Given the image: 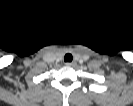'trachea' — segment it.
<instances>
[{
  "label": "trachea",
  "mask_w": 133,
  "mask_h": 106,
  "mask_svg": "<svg viewBox=\"0 0 133 106\" xmlns=\"http://www.w3.org/2000/svg\"><path fill=\"white\" fill-rule=\"evenodd\" d=\"M72 60H73V56L71 54L68 53L64 56L65 62H71Z\"/></svg>",
  "instance_id": "1"
}]
</instances>
